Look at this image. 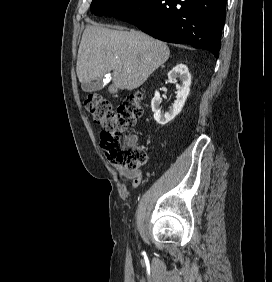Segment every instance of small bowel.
Here are the masks:
<instances>
[{
    "label": "small bowel",
    "instance_id": "small-bowel-1",
    "mask_svg": "<svg viewBox=\"0 0 272 282\" xmlns=\"http://www.w3.org/2000/svg\"><path fill=\"white\" fill-rule=\"evenodd\" d=\"M131 140L133 143H136L138 137L132 136ZM117 171L123 182L127 183L129 180H132L133 187H138L144 179L142 172L138 170L118 169Z\"/></svg>",
    "mask_w": 272,
    "mask_h": 282
}]
</instances>
